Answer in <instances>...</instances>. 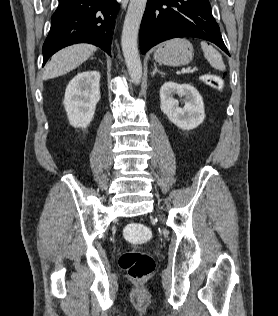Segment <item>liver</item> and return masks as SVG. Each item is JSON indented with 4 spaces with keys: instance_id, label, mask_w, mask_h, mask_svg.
I'll use <instances>...</instances> for the list:
<instances>
[{
    "instance_id": "liver-1",
    "label": "liver",
    "mask_w": 278,
    "mask_h": 316,
    "mask_svg": "<svg viewBox=\"0 0 278 316\" xmlns=\"http://www.w3.org/2000/svg\"><path fill=\"white\" fill-rule=\"evenodd\" d=\"M96 50L97 48L90 44H76L60 50L46 64L43 79L65 75L89 59Z\"/></svg>"
}]
</instances>
